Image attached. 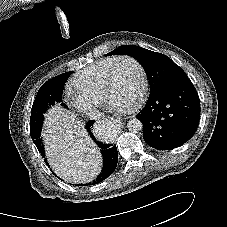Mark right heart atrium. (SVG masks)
<instances>
[{"label": "right heart atrium", "mask_w": 227, "mask_h": 227, "mask_svg": "<svg viewBox=\"0 0 227 227\" xmlns=\"http://www.w3.org/2000/svg\"><path fill=\"white\" fill-rule=\"evenodd\" d=\"M67 100L71 107L88 115L92 114L100 104V101L79 93H70Z\"/></svg>", "instance_id": "obj_1"}]
</instances>
